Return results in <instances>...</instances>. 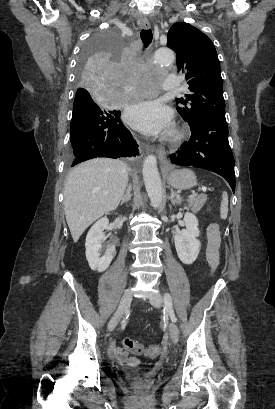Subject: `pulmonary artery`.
Instances as JSON below:
<instances>
[{"mask_svg": "<svg viewBox=\"0 0 275 409\" xmlns=\"http://www.w3.org/2000/svg\"><path fill=\"white\" fill-rule=\"evenodd\" d=\"M163 85L165 88H177L178 81L176 79V76L173 73H169L167 75V79L164 80ZM132 90H133V87L129 86L128 93H131Z\"/></svg>", "mask_w": 275, "mask_h": 409, "instance_id": "e3ab8cb5", "label": "pulmonary artery"}]
</instances>
